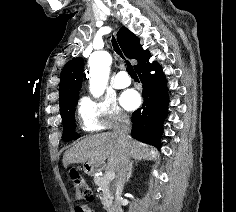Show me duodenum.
I'll return each instance as SVG.
<instances>
[{
	"mask_svg": "<svg viewBox=\"0 0 236 212\" xmlns=\"http://www.w3.org/2000/svg\"><path fill=\"white\" fill-rule=\"evenodd\" d=\"M108 212H123V209L120 205H113Z\"/></svg>",
	"mask_w": 236,
	"mask_h": 212,
	"instance_id": "duodenum-1",
	"label": "duodenum"
}]
</instances>
